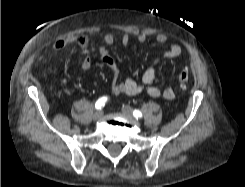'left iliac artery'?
I'll return each instance as SVG.
<instances>
[{
	"label": "left iliac artery",
	"mask_w": 245,
	"mask_h": 187,
	"mask_svg": "<svg viewBox=\"0 0 245 187\" xmlns=\"http://www.w3.org/2000/svg\"><path fill=\"white\" fill-rule=\"evenodd\" d=\"M133 115H134V117H136L137 119L142 117V113H141L139 110H134V111H133Z\"/></svg>",
	"instance_id": "44dca946"
}]
</instances>
